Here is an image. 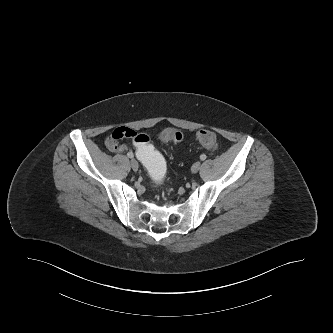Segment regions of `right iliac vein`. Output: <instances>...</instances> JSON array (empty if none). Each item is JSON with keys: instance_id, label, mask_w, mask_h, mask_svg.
Instances as JSON below:
<instances>
[{"instance_id": "right-iliac-vein-1", "label": "right iliac vein", "mask_w": 333, "mask_h": 333, "mask_svg": "<svg viewBox=\"0 0 333 333\" xmlns=\"http://www.w3.org/2000/svg\"><path fill=\"white\" fill-rule=\"evenodd\" d=\"M130 165H131V168L134 170V171H137L138 168H139V164L138 162L135 160V159H132L130 161Z\"/></svg>"}]
</instances>
